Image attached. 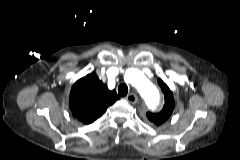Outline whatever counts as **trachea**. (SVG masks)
Wrapping results in <instances>:
<instances>
[{"label":"trachea","instance_id":"1","mask_svg":"<svg viewBox=\"0 0 240 160\" xmlns=\"http://www.w3.org/2000/svg\"><path fill=\"white\" fill-rule=\"evenodd\" d=\"M128 93V87L126 84H120L118 86V94L122 97L126 96Z\"/></svg>","mask_w":240,"mask_h":160}]
</instances>
